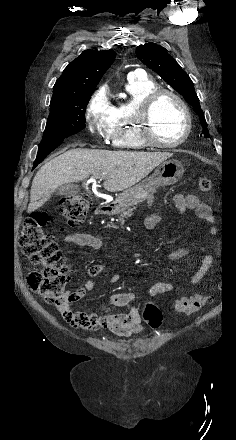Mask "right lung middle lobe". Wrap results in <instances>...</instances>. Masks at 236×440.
<instances>
[{
	"label": "right lung middle lobe",
	"instance_id": "1",
	"mask_svg": "<svg viewBox=\"0 0 236 440\" xmlns=\"http://www.w3.org/2000/svg\"><path fill=\"white\" fill-rule=\"evenodd\" d=\"M91 94L50 103V114L40 145L63 141L82 130L85 127V109Z\"/></svg>",
	"mask_w": 236,
	"mask_h": 440
}]
</instances>
